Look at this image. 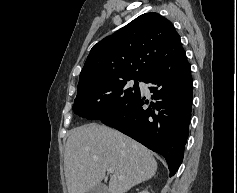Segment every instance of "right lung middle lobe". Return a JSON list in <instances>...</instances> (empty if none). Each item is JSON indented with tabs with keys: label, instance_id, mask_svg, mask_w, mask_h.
Wrapping results in <instances>:
<instances>
[{
	"label": "right lung middle lobe",
	"instance_id": "1",
	"mask_svg": "<svg viewBox=\"0 0 237 193\" xmlns=\"http://www.w3.org/2000/svg\"><path fill=\"white\" fill-rule=\"evenodd\" d=\"M134 79L131 86L128 81ZM143 78L110 80L87 86L77 91L74 113L87 119L98 120L121 111L139 94L138 81Z\"/></svg>",
	"mask_w": 237,
	"mask_h": 193
}]
</instances>
